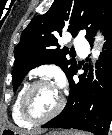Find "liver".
I'll return each instance as SVG.
<instances>
[{
    "label": "liver",
    "instance_id": "6515ba94",
    "mask_svg": "<svg viewBox=\"0 0 112 135\" xmlns=\"http://www.w3.org/2000/svg\"><path fill=\"white\" fill-rule=\"evenodd\" d=\"M21 135H34V133H31V132H21Z\"/></svg>",
    "mask_w": 112,
    "mask_h": 135
}]
</instances>
